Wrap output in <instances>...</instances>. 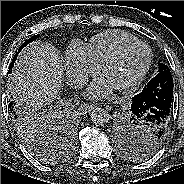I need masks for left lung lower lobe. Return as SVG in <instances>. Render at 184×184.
<instances>
[{
	"label": "left lung lower lobe",
	"mask_w": 184,
	"mask_h": 184,
	"mask_svg": "<svg viewBox=\"0 0 184 184\" xmlns=\"http://www.w3.org/2000/svg\"><path fill=\"white\" fill-rule=\"evenodd\" d=\"M173 85L169 73L153 77L142 92L132 98L128 112L159 132H166L172 114Z\"/></svg>",
	"instance_id": "left-lung-lower-lobe-1"
}]
</instances>
